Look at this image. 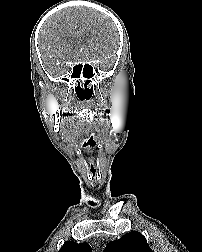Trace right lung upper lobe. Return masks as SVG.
<instances>
[{
	"label": "right lung upper lobe",
	"instance_id": "1",
	"mask_svg": "<svg viewBox=\"0 0 202 252\" xmlns=\"http://www.w3.org/2000/svg\"><path fill=\"white\" fill-rule=\"evenodd\" d=\"M58 252H92V250L87 243L77 244L72 241H66Z\"/></svg>",
	"mask_w": 202,
	"mask_h": 252
}]
</instances>
